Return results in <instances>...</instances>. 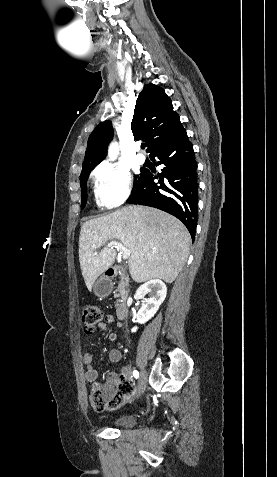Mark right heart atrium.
<instances>
[{"instance_id":"right-heart-atrium-1","label":"right heart atrium","mask_w":277,"mask_h":477,"mask_svg":"<svg viewBox=\"0 0 277 477\" xmlns=\"http://www.w3.org/2000/svg\"><path fill=\"white\" fill-rule=\"evenodd\" d=\"M96 195L99 203L107 208L122 205L132 188L131 176L124 167L103 162L94 170Z\"/></svg>"}]
</instances>
